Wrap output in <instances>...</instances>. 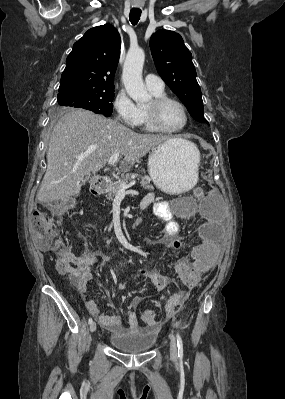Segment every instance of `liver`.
<instances>
[{
    "label": "liver",
    "mask_w": 285,
    "mask_h": 399,
    "mask_svg": "<svg viewBox=\"0 0 285 399\" xmlns=\"http://www.w3.org/2000/svg\"><path fill=\"white\" fill-rule=\"evenodd\" d=\"M168 139L140 134L121 123L81 109L72 110L55 125L47 151V170L37 193L42 202L68 201L78 196L84 177L102 169L119 154L127 170Z\"/></svg>",
    "instance_id": "6515ba94"
}]
</instances>
